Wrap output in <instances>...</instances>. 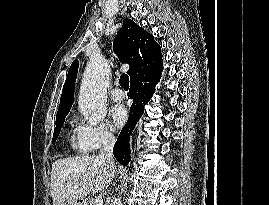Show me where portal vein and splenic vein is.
<instances>
[{"mask_svg":"<svg viewBox=\"0 0 269 205\" xmlns=\"http://www.w3.org/2000/svg\"><path fill=\"white\" fill-rule=\"evenodd\" d=\"M93 204L94 205H103V198H102V196H96L93 199Z\"/></svg>","mask_w":269,"mask_h":205,"instance_id":"18ae733b","label":"portal vein and splenic vein"}]
</instances>
